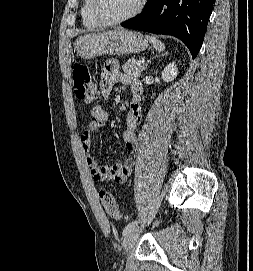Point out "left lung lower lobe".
I'll return each mask as SVG.
<instances>
[{"label": "left lung lower lobe", "mask_w": 253, "mask_h": 271, "mask_svg": "<svg viewBox=\"0 0 253 271\" xmlns=\"http://www.w3.org/2000/svg\"><path fill=\"white\" fill-rule=\"evenodd\" d=\"M214 0H148L143 12L125 28L172 35L184 42L195 58L202 46Z\"/></svg>", "instance_id": "obj_1"}]
</instances>
